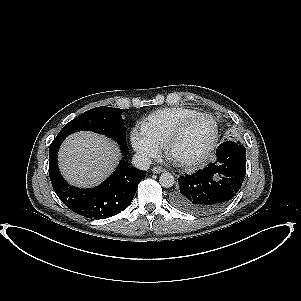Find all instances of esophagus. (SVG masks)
<instances>
[{"mask_svg":"<svg viewBox=\"0 0 301 301\" xmlns=\"http://www.w3.org/2000/svg\"><path fill=\"white\" fill-rule=\"evenodd\" d=\"M151 171H152L153 173L158 174V173L164 172L165 169L162 168V167H160V166H155V167H153V168L151 169Z\"/></svg>","mask_w":301,"mask_h":301,"instance_id":"34e87169","label":"esophagus"}]
</instances>
